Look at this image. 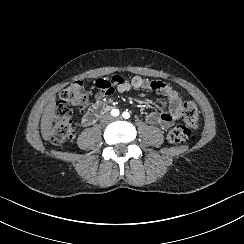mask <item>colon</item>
<instances>
[{"label":"colon","instance_id":"obj_1","mask_svg":"<svg viewBox=\"0 0 244 244\" xmlns=\"http://www.w3.org/2000/svg\"><path fill=\"white\" fill-rule=\"evenodd\" d=\"M88 98V90L82 81H73L59 94L55 109V123L51 134V142L60 145L73 139L76 127L71 119V106L85 102ZM183 122L174 127L170 132V140L175 144L184 143L190 136L192 129L196 128L200 111L197 105L185 100L180 107Z\"/></svg>","mask_w":244,"mask_h":244}]
</instances>
